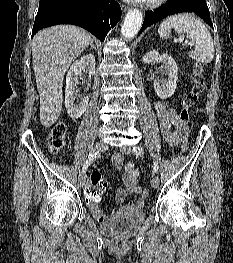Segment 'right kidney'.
Masks as SVG:
<instances>
[{
	"label": "right kidney",
	"mask_w": 233,
	"mask_h": 263,
	"mask_svg": "<svg viewBox=\"0 0 233 263\" xmlns=\"http://www.w3.org/2000/svg\"><path fill=\"white\" fill-rule=\"evenodd\" d=\"M95 57L92 54H87L81 59L76 60L70 67L66 77L65 88V107L72 119L80 118L89 103V97H82L76 90L79 83V77L82 70L86 71L90 76L95 74Z\"/></svg>",
	"instance_id": "right-kidney-1"
}]
</instances>
